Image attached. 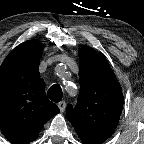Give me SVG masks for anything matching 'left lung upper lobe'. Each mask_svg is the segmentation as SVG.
Masks as SVG:
<instances>
[{"label":"left lung upper lobe","instance_id":"left-lung-upper-lobe-1","mask_svg":"<svg viewBox=\"0 0 144 144\" xmlns=\"http://www.w3.org/2000/svg\"><path fill=\"white\" fill-rule=\"evenodd\" d=\"M79 56L77 107L68 104L66 114L84 144H101L118 125L124 101L122 89L104 55L85 46Z\"/></svg>","mask_w":144,"mask_h":144}]
</instances>
